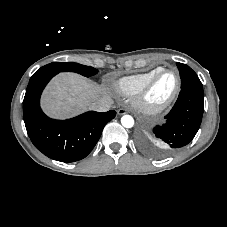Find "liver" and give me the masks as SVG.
<instances>
[{
	"mask_svg": "<svg viewBox=\"0 0 227 227\" xmlns=\"http://www.w3.org/2000/svg\"><path fill=\"white\" fill-rule=\"evenodd\" d=\"M110 98L106 87L74 73L57 75L47 86L42 96V108L54 118H68L91 109L92 103Z\"/></svg>",
	"mask_w": 227,
	"mask_h": 227,
	"instance_id": "6515ba94",
	"label": "liver"
}]
</instances>
